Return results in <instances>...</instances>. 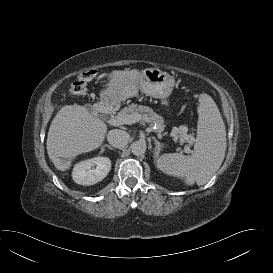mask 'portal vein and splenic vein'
Returning a JSON list of instances; mask_svg holds the SVG:
<instances>
[{
	"label": "portal vein and splenic vein",
	"mask_w": 273,
	"mask_h": 273,
	"mask_svg": "<svg viewBox=\"0 0 273 273\" xmlns=\"http://www.w3.org/2000/svg\"><path fill=\"white\" fill-rule=\"evenodd\" d=\"M143 120L140 114H133V115H128L124 118H120L118 116L111 118L109 121L112 125L119 126L123 124H134L137 123L138 121ZM144 121V120H143ZM150 131H152L151 128H149Z\"/></svg>",
	"instance_id": "18ae733b"
}]
</instances>
